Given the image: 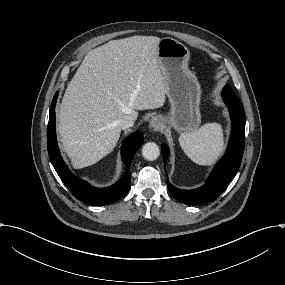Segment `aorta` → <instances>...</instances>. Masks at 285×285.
I'll use <instances>...</instances> for the list:
<instances>
[{
	"label": "aorta",
	"instance_id": "762f6f07",
	"mask_svg": "<svg viewBox=\"0 0 285 285\" xmlns=\"http://www.w3.org/2000/svg\"><path fill=\"white\" fill-rule=\"evenodd\" d=\"M159 155L160 150L156 143L148 142L142 147V156L148 161L156 160Z\"/></svg>",
	"mask_w": 285,
	"mask_h": 285
}]
</instances>
